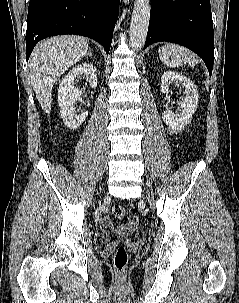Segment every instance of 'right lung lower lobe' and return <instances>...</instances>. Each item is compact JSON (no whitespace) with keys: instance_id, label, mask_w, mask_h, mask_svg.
<instances>
[{"instance_id":"right-lung-lower-lobe-1","label":"right lung lower lobe","mask_w":239,"mask_h":303,"mask_svg":"<svg viewBox=\"0 0 239 303\" xmlns=\"http://www.w3.org/2000/svg\"><path fill=\"white\" fill-rule=\"evenodd\" d=\"M120 0H30L27 16L26 58L38 41L62 34L94 39L108 53L118 18Z\"/></svg>"}]
</instances>
